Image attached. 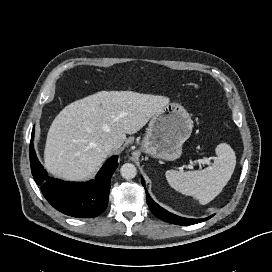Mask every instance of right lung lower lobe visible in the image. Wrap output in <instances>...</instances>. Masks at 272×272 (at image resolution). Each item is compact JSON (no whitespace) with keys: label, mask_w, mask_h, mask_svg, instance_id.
Returning a JSON list of instances; mask_svg holds the SVG:
<instances>
[{"label":"right lung lower lobe","mask_w":272,"mask_h":272,"mask_svg":"<svg viewBox=\"0 0 272 272\" xmlns=\"http://www.w3.org/2000/svg\"><path fill=\"white\" fill-rule=\"evenodd\" d=\"M34 130L30 142L32 175L47 201L58 211L77 218L100 215L108 205L110 180L116 170L118 156L109 158L94 180L66 182L50 178L38 161L33 146Z\"/></svg>","instance_id":"98d812e1"}]
</instances>
